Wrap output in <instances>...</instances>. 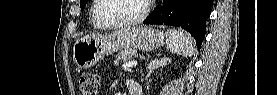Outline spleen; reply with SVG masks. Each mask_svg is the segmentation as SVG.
<instances>
[{"label":"spleen","instance_id":"obj_1","mask_svg":"<svg viewBox=\"0 0 277 95\" xmlns=\"http://www.w3.org/2000/svg\"><path fill=\"white\" fill-rule=\"evenodd\" d=\"M166 46L177 55L191 56L194 53L192 40L179 30L169 29L166 32Z\"/></svg>","mask_w":277,"mask_h":95}]
</instances>
